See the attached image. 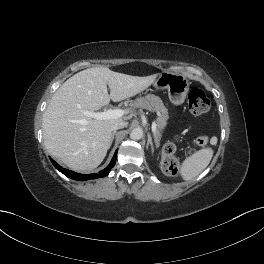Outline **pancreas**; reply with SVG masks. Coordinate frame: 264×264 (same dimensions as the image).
I'll return each mask as SVG.
<instances>
[{
	"label": "pancreas",
	"mask_w": 264,
	"mask_h": 264,
	"mask_svg": "<svg viewBox=\"0 0 264 264\" xmlns=\"http://www.w3.org/2000/svg\"><path fill=\"white\" fill-rule=\"evenodd\" d=\"M134 106L137 108L157 112L159 114L157 118V129L154 134L155 142L157 146H159L162 131L167 125V120L169 119L168 109L165 107L163 101L158 96L153 94H148L145 97H139L135 99Z\"/></svg>",
	"instance_id": "obj_1"
}]
</instances>
